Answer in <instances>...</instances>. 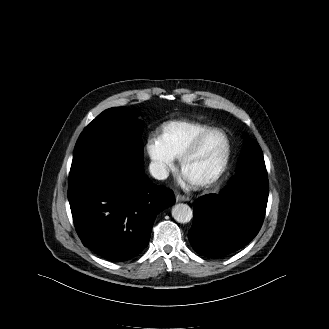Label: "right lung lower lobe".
<instances>
[{"label": "right lung lower lobe", "mask_w": 329, "mask_h": 329, "mask_svg": "<svg viewBox=\"0 0 329 329\" xmlns=\"http://www.w3.org/2000/svg\"><path fill=\"white\" fill-rule=\"evenodd\" d=\"M68 200L83 245L114 262L138 255L157 214L175 203L173 192L151 183L143 169L107 161L70 174Z\"/></svg>", "instance_id": "98d812e1"}]
</instances>
